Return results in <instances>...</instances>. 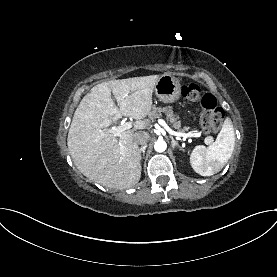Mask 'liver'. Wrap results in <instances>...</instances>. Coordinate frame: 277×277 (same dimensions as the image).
<instances>
[{"mask_svg":"<svg viewBox=\"0 0 277 277\" xmlns=\"http://www.w3.org/2000/svg\"><path fill=\"white\" fill-rule=\"evenodd\" d=\"M159 75L112 80L94 86L75 110L67 145L77 169L108 188L128 189L141 177L134 131L146 129L152 93ZM114 95L119 107L111 98ZM122 116L136 119L134 128L116 138L109 126Z\"/></svg>","mask_w":277,"mask_h":277,"instance_id":"6515ba94","label":"liver"}]
</instances>
